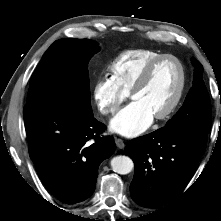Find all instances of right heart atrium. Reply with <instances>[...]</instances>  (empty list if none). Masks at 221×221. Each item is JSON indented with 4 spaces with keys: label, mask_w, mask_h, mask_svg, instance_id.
<instances>
[{
    "label": "right heart atrium",
    "mask_w": 221,
    "mask_h": 221,
    "mask_svg": "<svg viewBox=\"0 0 221 221\" xmlns=\"http://www.w3.org/2000/svg\"><path fill=\"white\" fill-rule=\"evenodd\" d=\"M92 93L98 110L105 116L115 114L128 97V94L106 76L94 83Z\"/></svg>",
    "instance_id": "d8ad5b80"
}]
</instances>
